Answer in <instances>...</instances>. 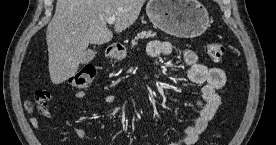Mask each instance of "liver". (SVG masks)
Masks as SVG:
<instances>
[{
	"label": "liver",
	"instance_id": "obj_1",
	"mask_svg": "<svg viewBox=\"0 0 276 145\" xmlns=\"http://www.w3.org/2000/svg\"><path fill=\"white\" fill-rule=\"evenodd\" d=\"M145 0H57L48 24V67L53 84L75 75L88 45L111 41L107 19L115 16L114 30L121 33L137 20Z\"/></svg>",
	"mask_w": 276,
	"mask_h": 145
}]
</instances>
